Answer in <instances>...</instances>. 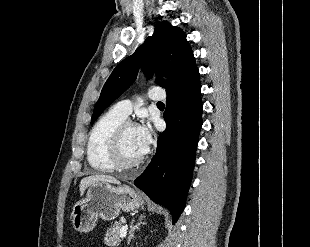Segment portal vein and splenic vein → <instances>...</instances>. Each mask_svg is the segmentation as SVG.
I'll return each mask as SVG.
<instances>
[{"mask_svg":"<svg viewBox=\"0 0 310 247\" xmlns=\"http://www.w3.org/2000/svg\"><path fill=\"white\" fill-rule=\"evenodd\" d=\"M127 230H128V226L127 225H125V226H123L122 228H121V230H120V238H125L126 237V235H127Z\"/></svg>","mask_w":310,"mask_h":247,"instance_id":"portal-vein-and-splenic-vein-1","label":"portal vein and splenic vein"}]
</instances>
